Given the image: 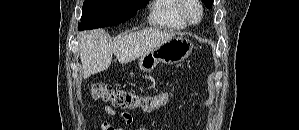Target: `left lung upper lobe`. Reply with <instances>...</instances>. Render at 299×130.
<instances>
[{
  "label": "left lung upper lobe",
  "mask_w": 299,
  "mask_h": 130,
  "mask_svg": "<svg viewBox=\"0 0 299 130\" xmlns=\"http://www.w3.org/2000/svg\"><path fill=\"white\" fill-rule=\"evenodd\" d=\"M203 2L207 8H212L213 0H203Z\"/></svg>",
  "instance_id": "obj_1"
}]
</instances>
